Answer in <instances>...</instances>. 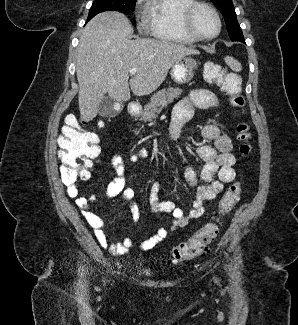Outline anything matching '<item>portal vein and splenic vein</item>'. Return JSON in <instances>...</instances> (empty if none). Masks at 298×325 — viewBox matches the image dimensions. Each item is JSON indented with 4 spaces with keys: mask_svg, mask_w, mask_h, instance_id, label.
<instances>
[{
    "mask_svg": "<svg viewBox=\"0 0 298 325\" xmlns=\"http://www.w3.org/2000/svg\"><path fill=\"white\" fill-rule=\"evenodd\" d=\"M137 72V68H130L129 74H135Z\"/></svg>",
    "mask_w": 298,
    "mask_h": 325,
    "instance_id": "18ae733b",
    "label": "portal vein and splenic vein"
}]
</instances>
